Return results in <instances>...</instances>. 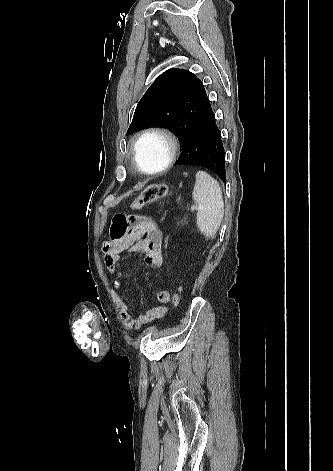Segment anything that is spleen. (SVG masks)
<instances>
[{"instance_id": "3e777b00", "label": "spleen", "mask_w": 333, "mask_h": 471, "mask_svg": "<svg viewBox=\"0 0 333 471\" xmlns=\"http://www.w3.org/2000/svg\"><path fill=\"white\" fill-rule=\"evenodd\" d=\"M192 197L198 206L197 227L205 236L214 238L224 217V202L218 181L205 171H198Z\"/></svg>"}]
</instances>
